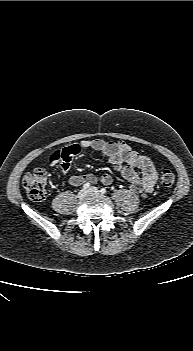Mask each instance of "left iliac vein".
I'll return each instance as SVG.
<instances>
[{"mask_svg":"<svg viewBox=\"0 0 193 351\" xmlns=\"http://www.w3.org/2000/svg\"><path fill=\"white\" fill-rule=\"evenodd\" d=\"M99 190H98V188H96V187H90L89 189H88V193L89 194H99Z\"/></svg>","mask_w":193,"mask_h":351,"instance_id":"left-iliac-vein-1","label":"left iliac vein"}]
</instances>
